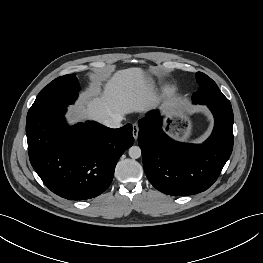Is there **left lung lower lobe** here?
Segmentation results:
<instances>
[{
    "mask_svg": "<svg viewBox=\"0 0 263 263\" xmlns=\"http://www.w3.org/2000/svg\"><path fill=\"white\" fill-rule=\"evenodd\" d=\"M215 118L211 136L202 144L180 143L162 130L158 111L139 120L138 143L145 174L159 191L186 196L207 190L218 178L233 149L231 105L205 104Z\"/></svg>",
    "mask_w": 263,
    "mask_h": 263,
    "instance_id": "0a47b994",
    "label": "left lung lower lobe"
}]
</instances>
